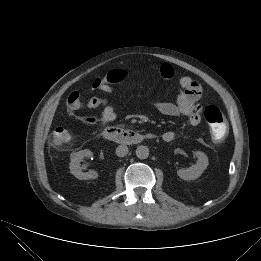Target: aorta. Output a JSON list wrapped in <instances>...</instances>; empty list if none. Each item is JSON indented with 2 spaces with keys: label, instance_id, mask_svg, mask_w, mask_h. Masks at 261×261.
Returning a JSON list of instances; mask_svg holds the SVG:
<instances>
[{
  "label": "aorta",
  "instance_id": "762f6f07",
  "mask_svg": "<svg viewBox=\"0 0 261 261\" xmlns=\"http://www.w3.org/2000/svg\"><path fill=\"white\" fill-rule=\"evenodd\" d=\"M136 156L139 159H146L149 156V149L147 146L140 145L136 149Z\"/></svg>",
  "mask_w": 261,
  "mask_h": 261
}]
</instances>
